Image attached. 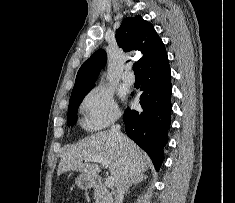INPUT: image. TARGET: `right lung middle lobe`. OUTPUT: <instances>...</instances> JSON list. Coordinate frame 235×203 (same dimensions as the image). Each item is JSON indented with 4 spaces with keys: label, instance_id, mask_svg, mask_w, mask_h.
<instances>
[{
    "label": "right lung middle lobe",
    "instance_id": "dd1d6c3e",
    "mask_svg": "<svg viewBox=\"0 0 235 203\" xmlns=\"http://www.w3.org/2000/svg\"><path fill=\"white\" fill-rule=\"evenodd\" d=\"M93 88L88 87L84 90L71 94L69 107H68V125L73 126L77 120V110L85 95Z\"/></svg>",
    "mask_w": 235,
    "mask_h": 203
}]
</instances>
